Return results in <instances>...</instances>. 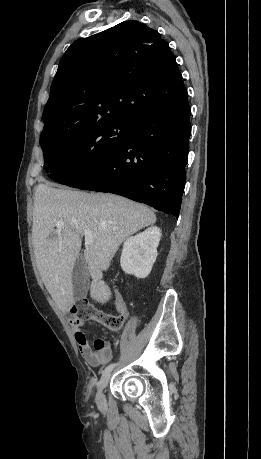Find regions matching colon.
<instances>
[{"label":"colon","mask_w":261,"mask_h":459,"mask_svg":"<svg viewBox=\"0 0 261 459\" xmlns=\"http://www.w3.org/2000/svg\"><path fill=\"white\" fill-rule=\"evenodd\" d=\"M69 313L78 315L82 319H94L107 329L117 331L121 329L124 322L122 315H115L92 306L87 300H80L70 308Z\"/></svg>","instance_id":"1"}]
</instances>
